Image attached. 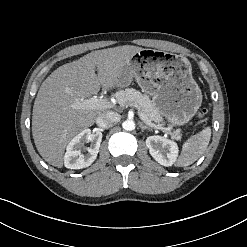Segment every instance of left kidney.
I'll list each match as a JSON object with an SVG mask.
<instances>
[{
    "mask_svg": "<svg viewBox=\"0 0 247 247\" xmlns=\"http://www.w3.org/2000/svg\"><path fill=\"white\" fill-rule=\"evenodd\" d=\"M146 146L151 156L160 164L166 167L172 166L178 156L176 142L161 136H149L146 139Z\"/></svg>",
    "mask_w": 247,
    "mask_h": 247,
    "instance_id": "obj_1",
    "label": "left kidney"
}]
</instances>
